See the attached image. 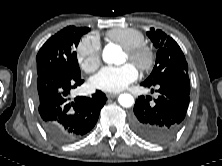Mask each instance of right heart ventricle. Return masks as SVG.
<instances>
[{
    "mask_svg": "<svg viewBox=\"0 0 222 166\" xmlns=\"http://www.w3.org/2000/svg\"><path fill=\"white\" fill-rule=\"evenodd\" d=\"M107 38L129 49L144 44L143 34L133 28H117L107 32Z\"/></svg>",
    "mask_w": 222,
    "mask_h": 166,
    "instance_id": "obj_1",
    "label": "right heart ventricle"
}]
</instances>
